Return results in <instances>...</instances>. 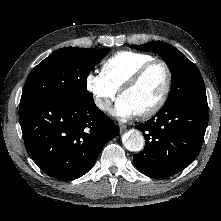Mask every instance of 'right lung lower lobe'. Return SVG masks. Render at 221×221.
Masks as SVG:
<instances>
[{
    "instance_id": "1",
    "label": "right lung lower lobe",
    "mask_w": 221,
    "mask_h": 221,
    "mask_svg": "<svg viewBox=\"0 0 221 221\" xmlns=\"http://www.w3.org/2000/svg\"><path fill=\"white\" fill-rule=\"evenodd\" d=\"M19 119L29 156L59 180L87 173L103 146L119 134L93 99L21 101Z\"/></svg>"
}]
</instances>
